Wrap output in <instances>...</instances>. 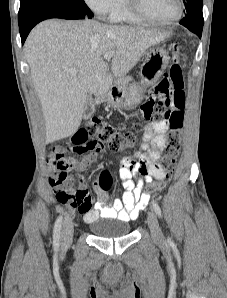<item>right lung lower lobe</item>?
<instances>
[{"label":"right lung lower lobe","mask_w":227,"mask_h":298,"mask_svg":"<svg viewBox=\"0 0 227 298\" xmlns=\"http://www.w3.org/2000/svg\"><path fill=\"white\" fill-rule=\"evenodd\" d=\"M93 14H84V13H76V12H69L64 10H44L38 12L28 19L24 20L23 22L19 23V31L21 36L22 44L25 42L26 37L28 36L31 29L38 24L39 22L49 19V18H63V19H84V18H92Z\"/></svg>","instance_id":"1"}]
</instances>
